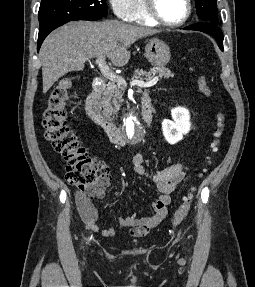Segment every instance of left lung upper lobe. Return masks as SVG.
Masks as SVG:
<instances>
[{"mask_svg": "<svg viewBox=\"0 0 255 287\" xmlns=\"http://www.w3.org/2000/svg\"><path fill=\"white\" fill-rule=\"evenodd\" d=\"M197 15L204 22L218 24L216 0H195Z\"/></svg>", "mask_w": 255, "mask_h": 287, "instance_id": "left-lung-upper-lobe-1", "label": "left lung upper lobe"}]
</instances>
